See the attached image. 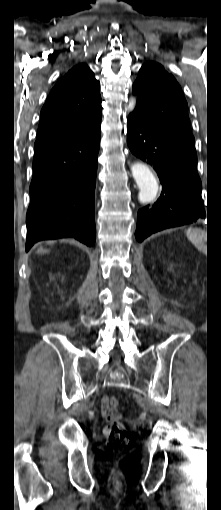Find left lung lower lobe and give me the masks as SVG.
Returning a JSON list of instances; mask_svg holds the SVG:
<instances>
[{"label": "left lung lower lobe", "instance_id": "obj_1", "mask_svg": "<svg viewBox=\"0 0 221 510\" xmlns=\"http://www.w3.org/2000/svg\"><path fill=\"white\" fill-rule=\"evenodd\" d=\"M127 144L136 157L153 166L162 184L157 202L138 211L135 236L139 242L206 215L195 151L163 137L135 112L128 117Z\"/></svg>", "mask_w": 221, "mask_h": 510}]
</instances>
